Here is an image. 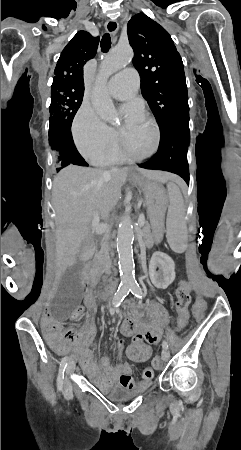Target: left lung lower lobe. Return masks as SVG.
Here are the masks:
<instances>
[{
    "mask_svg": "<svg viewBox=\"0 0 241 450\" xmlns=\"http://www.w3.org/2000/svg\"><path fill=\"white\" fill-rule=\"evenodd\" d=\"M160 133L161 139L157 153L139 167L178 174L189 184L187 161L189 110L175 114L160 127Z\"/></svg>",
    "mask_w": 241,
    "mask_h": 450,
    "instance_id": "obj_1",
    "label": "left lung lower lobe"
}]
</instances>
